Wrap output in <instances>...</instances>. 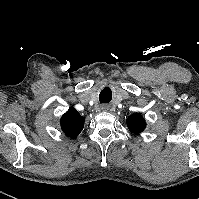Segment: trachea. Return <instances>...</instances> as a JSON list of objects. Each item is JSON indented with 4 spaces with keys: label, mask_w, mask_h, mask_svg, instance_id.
I'll return each instance as SVG.
<instances>
[{
    "label": "trachea",
    "mask_w": 199,
    "mask_h": 199,
    "mask_svg": "<svg viewBox=\"0 0 199 199\" xmlns=\"http://www.w3.org/2000/svg\"><path fill=\"white\" fill-rule=\"evenodd\" d=\"M112 98V93L111 91L108 89H103L101 92H100V95H99V101L101 103H108Z\"/></svg>",
    "instance_id": "3493384b"
}]
</instances>
